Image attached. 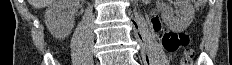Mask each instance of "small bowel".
Here are the masks:
<instances>
[{"label":"small bowel","mask_w":232,"mask_h":65,"mask_svg":"<svg viewBox=\"0 0 232 65\" xmlns=\"http://www.w3.org/2000/svg\"><path fill=\"white\" fill-rule=\"evenodd\" d=\"M151 27L157 33L159 40L162 42V38H163L164 34L167 33V31H165L162 28L160 20L158 19V17H153L151 19Z\"/></svg>","instance_id":"obj_1"}]
</instances>
